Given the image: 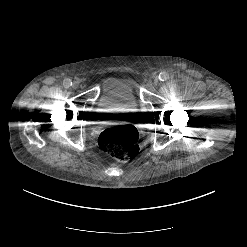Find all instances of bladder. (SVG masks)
I'll list each match as a JSON object with an SVG mask.
<instances>
[{
  "mask_svg": "<svg viewBox=\"0 0 247 247\" xmlns=\"http://www.w3.org/2000/svg\"><path fill=\"white\" fill-rule=\"evenodd\" d=\"M98 108L102 110L100 117H111L115 114L131 115L132 109L137 107L138 101L132 81L125 77L109 76L102 84L98 98ZM115 109L123 110L117 112Z\"/></svg>",
  "mask_w": 247,
  "mask_h": 247,
  "instance_id": "1",
  "label": "bladder"
}]
</instances>
